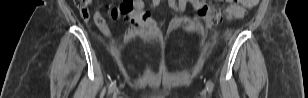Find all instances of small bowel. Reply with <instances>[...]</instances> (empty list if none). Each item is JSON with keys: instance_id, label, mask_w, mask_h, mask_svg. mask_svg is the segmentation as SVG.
Segmentation results:
<instances>
[{"instance_id": "c3829d8e", "label": "small bowel", "mask_w": 308, "mask_h": 98, "mask_svg": "<svg viewBox=\"0 0 308 98\" xmlns=\"http://www.w3.org/2000/svg\"><path fill=\"white\" fill-rule=\"evenodd\" d=\"M160 3L159 0H153L150 2L151 7H156ZM124 5H127L130 7V9H144L145 4L142 0H127L124 1ZM168 4L170 8L176 12V13H182L185 11L188 5H190L193 9L198 10L206 5V2L203 0H169ZM113 18H119L120 16L112 15ZM93 20L95 24L97 25L98 29L103 33L104 35L109 34V28L107 26L106 20L102 16L99 10H95L93 13ZM145 24V22H141ZM135 27V25H133Z\"/></svg>"}]
</instances>
